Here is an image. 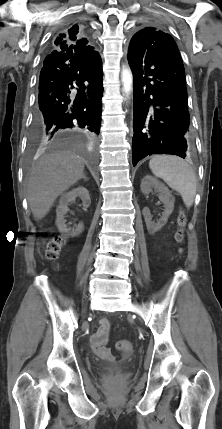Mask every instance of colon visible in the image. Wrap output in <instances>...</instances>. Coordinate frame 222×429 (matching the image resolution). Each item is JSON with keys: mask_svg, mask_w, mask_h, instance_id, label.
Segmentation results:
<instances>
[{"mask_svg": "<svg viewBox=\"0 0 222 429\" xmlns=\"http://www.w3.org/2000/svg\"><path fill=\"white\" fill-rule=\"evenodd\" d=\"M178 226L179 229L176 233V240L182 242L184 238V227L186 225V215L181 210L178 215ZM65 239L60 234H54L45 242V255L50 260L57 259L61 246L64 243ZM117 348L120 351L129 353L133 349V345L129 340H119L116 344Z\"/></svg>", "mask_w": 222, "mask_h": 429, "instance_id": "5ec220e1", "label": "colon"}]
</instances>
